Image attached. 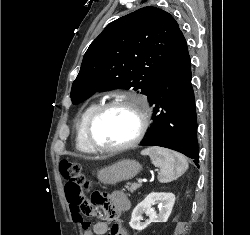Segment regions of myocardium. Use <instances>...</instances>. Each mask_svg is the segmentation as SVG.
Instances as JSON below:
<instances>
[{
	"label": "myocardium",
	"instance_id": "1",
	"mask_svg": "<svg viewBox=\"0 0 250 235\" xmlns=\"http://www.w3.org/2000/svg\"><path fill=\"white\" fill-rule=\"evenodd\" d=\"M124 106L134 110L138 116L139 126L135 136L126 143L115 146H102L93 138V127L99 117L111 108ZM149 123V113L144 100L133 97H118L100 104L90 115L86 122L84 135L88 145L96 152L116 153L135 147L144 137Z\"/></svg>",
	"mask_w": 250,
	"mask_h": 235
}]
</instances>
